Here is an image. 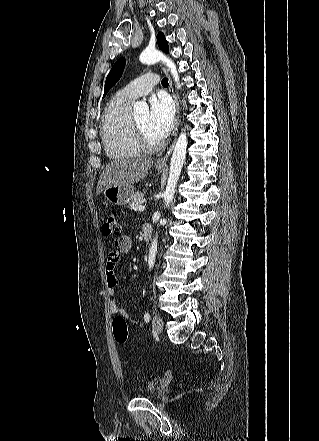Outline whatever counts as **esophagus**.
I'll return each instance as SVG.
<instances>
[{
	"label": "esophagus",
	"instance_id": "obj_1",
	"mask_svg": "<svg viewBox=\"0 0 319 441\" xmlns=\"http://www.w3.org/2000/svg\"><path fill=\"white\" fill-rule=\"evenodd\" d=\"M161 67H162L163 71L165 72V74H166V76L168 78V81H169V91L172 94V97L174 99L175 106H176V119H175V131H174V135L176 137L177 131H178V125H179V116H180L179 102H178V98H177V96H176V94L174 92V88H173V85H172V80H171V77H170L168 71L166 70L165 67H163V66H161ZM174 144H175V141L172 143L170 148L167 150L166 154L156 161L157 165H166V163L168 161V158L170 157V155L172 153V150L174 148Z\"/></svg>",
	"mask_w": 319,
	"mask_h": 441
}]
</instances>
